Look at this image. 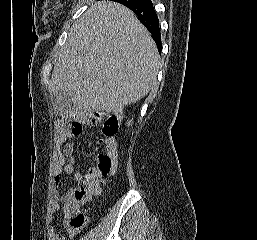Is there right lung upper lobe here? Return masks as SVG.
Listing matches in <instances>:
<instances>
[{
  "instance_id": "1",
  "label": "right lung upper lobe",
  "mask_w": 257,
  "mask_h": 240,
  "mask_svg": "<svg viewBox=\"0 0 257 240\" xmlns=\"http://www.w3.org/2000/svg\"><path fill=\"white\" fill-rule=\"evenodd\" d=\"M112 1H115V2H118V3H121V4H125V2H126L127 0H112Z\"/></svg>"
}]
</instances>
